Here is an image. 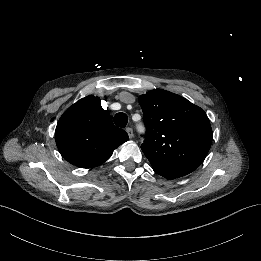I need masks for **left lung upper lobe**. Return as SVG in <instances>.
Segmentation results:
<instances>
[{
  "mask_svg": "<svg viewBox=\"0 0 261 261\" xmlns=\"http://www.w3.org/2000/svg\"><path fill=\"white\" fill-rule=\"evenodd\" d=\"M139 103L147 128L141 149L154 172L170 180L197 169L212 142L204 110L162 89L141 95Z\"/></svg>",
  "mask_w": 261,
  "mask_h": 261,
  "instance_id": "obj_1",
  "label": "left lung upper lobe"
}]
</instances>
